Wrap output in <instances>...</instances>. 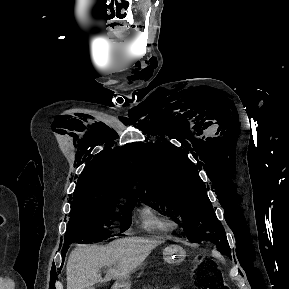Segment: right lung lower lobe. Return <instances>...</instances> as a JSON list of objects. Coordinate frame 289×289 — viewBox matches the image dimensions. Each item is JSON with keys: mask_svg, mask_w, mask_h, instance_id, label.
Instances as JSON below:
<instances>
[{"mask_svg": "<svg viewBox=\"0 0 289 289\" xmlns=\"http://www.w3.org/2000/svg\"><path fill=\"white\" fill-rule=\"evenodd\" d=\"M66 250H67V248H65V247H64L63 250H62V251H63V252H62L63 257H65V252H66Z\"/></svg>", "mask_w": 289, "mask_h": 289, "instance_id": "98d812e1", "label": "right lung lower lobe"}]
</instances>
